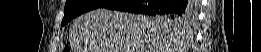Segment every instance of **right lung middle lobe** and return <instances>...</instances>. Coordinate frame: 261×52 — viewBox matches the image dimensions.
<instances>
[{
	"label": "right lung middle lobe",
	"mask_w": 261,
	"mask_h": 52,
	"mask_svg": "<svg viewBox=\"0 0 261 52\" xmlns=\"http://www.w3.org/2000/svg\"><path fill=\"white\" fill-rule=\"evenodd\" d=\"M111 0H67L65 4L64 18L61 25L67 24L70 20L76 16L96 9L102 8L104 5L108 4ZM161 17L162 20L170 23H181V22H191L195 17V9L193 13L185 16H157Z\"/></svg>",
	"instance_id": "obj_1"
}]
</instances>
